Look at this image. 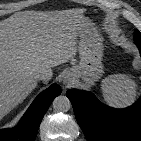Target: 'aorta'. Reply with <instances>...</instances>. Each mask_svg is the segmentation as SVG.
I'll list each match as a JSON object with an SVG mask.
<instances>
[{"mask_svg": "<svg viewBox=\"0 0 141 141\" xmlns=\"http://www.w3.org/2000/svg\"><path fill=\"white\" fill-rule=\"evenodd\" d=\"M53 108L56 112H67L71 108V102L66 96H58L53 101Z\"/></svg>", "mask_w": 141, "mask_h": 141, "instance_id": "762f6f07", "label": "aorta"}]
</instances>
